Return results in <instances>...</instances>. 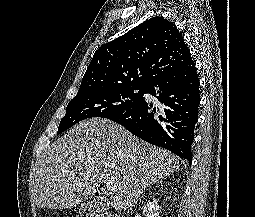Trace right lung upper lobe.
Instances as JSON below:
<instances>
[{
    "mask_svg": "<svg viewBox=\"0 0 255 217\" xmlns=\"http://www.w3.org/2000/svg\"><path fill=\"white\" fill-rule=\"evenodd\" d=\"M190 59V50L175 25L162 17H153L101 46L78 92L119 86L147 87Z\"/></svg>",
    "mask_w": 255,
    "mask_h": 217,
    "instance_id": "1",
    "label": "right lung upper lobe"
}]
</instances>
